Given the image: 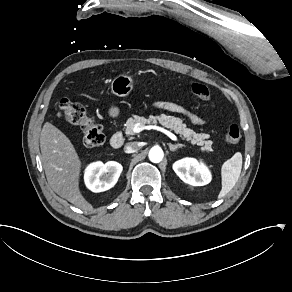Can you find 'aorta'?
<instances>
[{
    "label": "aorta",
    "instance_id": "762f6f07",
    "mask_svg": "<svg viewBox=\"0 0 292 292\" xmlns=\"http://www.w3.org/2000/svg\"><path fill=\"white\" fill-rule=\"evenodd\" d=\"M164 153L159 147H154L149 152V159L153 163H160L163 160Z\"/></svg>",
    "mask_w": 292,
    "mask_h": 292
}]
</instances>
